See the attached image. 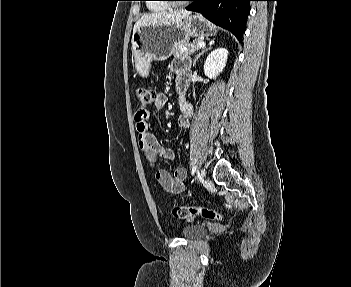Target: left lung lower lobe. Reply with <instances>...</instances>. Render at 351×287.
Listing matches in <instances>:
<instances>
[{
  "label": "left lung lower lobe",
  "instance_id": "1",
  "mask_svg": "<svg viewBox=\"0 0 351 287\" xmlns=\"http://www.w3.org/2000/svg\"><path fill=\"white\" fill-rule=\"evenodd\" d=\"M187 10L200 12L214 24L230 30L241 42L253 0H190Z\"/></svg>",
  "mask_w": 351,
  "mask_h": 287
}]
</instances>
